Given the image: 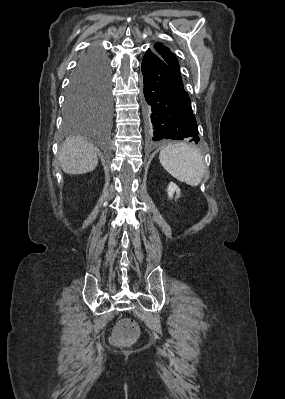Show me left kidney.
<instances>
[{"label": "left kidney", "instance_id": "5707ae66", "mask_svg": "<svg viewBox=\"0 0 285 399\" xmlns=\"http://www.w3.org/2000/svg\"><path fill=\"white\" fill-rule=\"evenodd\" d=\"M167 192H168L169 198H172V197H173V194H174L175 192H176V194H177V198L180 197V189H179L178 186H177L175 183H173V182H171V183L168 185Z\"/></svg>", "mask_w": 285, "mask_h": 399}]
</instances>
